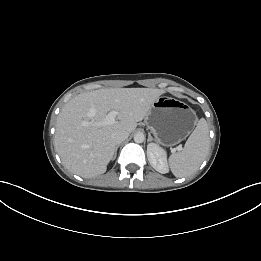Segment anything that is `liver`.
<instances>
[{"instance_id": "6515ba94", "label": "liver", "mask_w": 261, "mask_h": 261, "mask_svg": "<svg viewBox=\"0 0 261 261\" xmlns=\"http://www.w3.org/2000/svg\"><path fill=\"white\" fill-rule=\"evenodd\" d=\"M163 93L152 88H106L72 98L56 122L55 149L64 166L84 178L105 173L115 151L112 134L133 132ZM110 111L118 112V121L103 124Z\"/></svg>"}]
</instances>
